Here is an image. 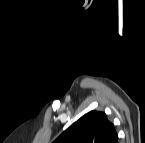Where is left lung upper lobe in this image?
Instances as JSON below:
<instances>
[{
    "mask_svg": "<svg viewBox=\"0 0 145 143\" xmlns=\"http://www.w3.org/2000/svg\"><path fill=\"white\" fill-rule=\"evenodd\" d=\"M55 143H118V135L105 113L91 111L73 123Z\"/></svg>",
    "mask_w": 145,
    "mask_h": 143,
    "instance_id": "obj_1",
    "label": "left lung upper lobe"
}]
</instances>
